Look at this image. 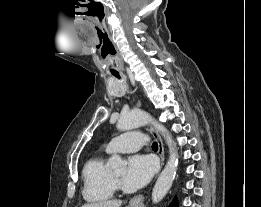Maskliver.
Segmentation results:
<instances>
[{
    "instance_id": "6515ba94",
    "label": "liver",
    "mask_w": 261,
    "mask_h": 207,
    "mask_svg": "<svg viewBox=\"0 0 261 207\" xmlns=\"http://www.w3.org/2000/svg\"><path fill=\"white\" fill-rule=\"evenodd\" d=\"M121 200H104L100 202L84 204L82 207H121Z\"/></svg>"
}]
</instances>
